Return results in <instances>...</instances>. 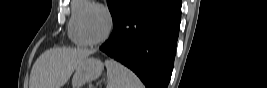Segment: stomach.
Returning <instances> with one entry per match:
<instances>
[{"label":"stomach","mask_w":267,"mask_h":88,"mask_svg":"<svg viewBox=\"0 0 267 88\" xmlns=\"http://www.w3.org/2000/svg\"><path fill=\"white\" fill-rule=\"evenodd\" d=\"M103 70V63L96 58L87 57L80 61L75 68L72 79L73 88H81L84 84L97 79Z\"/></svg>","instance_id":"obj_1"}]
</instances>
